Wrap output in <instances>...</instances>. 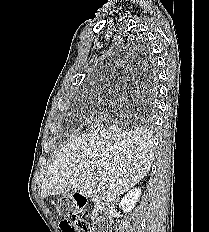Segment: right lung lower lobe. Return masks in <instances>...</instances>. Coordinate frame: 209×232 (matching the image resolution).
Here are the masks:
<instances>
[{
    "label": "right lung lower lobe",
    "mask_w": 209,
    "mask_h": 232,
    "mask_svg": "<svg viewBox=\"0 0 209 232\" xmlns=\"http://www.w3.org/2000/svg\"><path fill=\"white\" fill-rule=\"evenodd\" d=\"M143 60L150 62V58L148 57V54L147 55H143ZM147 94H148V91H147Z\"/></svg>",
    "instance_id": "1"
}]
</instances>
